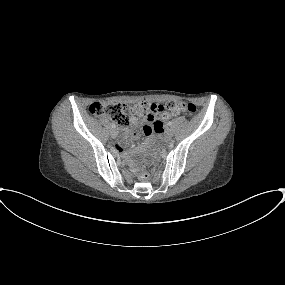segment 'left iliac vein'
Wrapping results in <instances>:
<instances>
[{
	"mask_svg": "<svg viewBox=\"0 0 285 285\" xmlns=\"http://www.w3.org/2000/svg\"><path fill=\"white\" fill-rule=\"evenodd\" d=\"M173 135H174V133H173L172 129H167V130H166V136H167L168 138H172Z\"/></svg>",
	"mask_w": 285,
	"mask_h": 285,
	"instance_id": "1",
	"label": "left iliac vein"
}]
</instances>
